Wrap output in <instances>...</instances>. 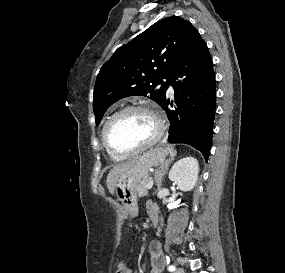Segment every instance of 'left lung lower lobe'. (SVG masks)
Segmentation results:
<instances>
[{
  "instance_id": "0a47b994",
  "label": "left lung lower lobe",
  "mask_w": 285,
  "mask_h": 273,
  "mask_svg": "<svg viewBox=\"0 0 285 273\" xmlns=\"http://www.w3.org/2000/svg\"><path fill=\"white\" fill-rule=\"evenodd\" d=\"M174 108L165 98L160 105L170 120V143H186L198 149L207 161L211 148L216 105L213 63L205 41L194 30L185 53L172 72ZM173 105V102H171Z\"/></svg>"
}]
</instances>
